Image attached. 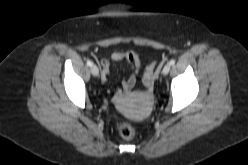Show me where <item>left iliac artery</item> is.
Masks as SVG:
<instances>
[{"instance_id":"obj_1","label":"left iliac artery","mask_w":248,"mask_h":165,"mask_svg":"<svg viewBox=\"0 0 248 165\" xmlns=\"http://www.w3.org/2000/svg\"><path fill=\"white\" fill-rule=\"evenodd\" d=\"M174 64H175V60L174 59L170 60V65H174Z\"/></svg>"}]
</instances>
